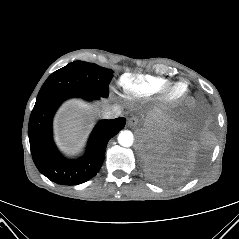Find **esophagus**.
I'll return each mask as SVG.
<instances>
[{
  "mask_svg": "<svg viewBox=\"0 0 239 239\" xmlns=\"http://www.w3.org/2000/svg\"><path fill=\"white\" fill-rule=\"evenodd\" d=\"M139 123V118L137 116H132L128 119V126L133 127Z\"/></svg>",
  "mask_w": 239,
  "mask_h": 239,
  "instance_id": "obj_1",
  "label": "esophagus"
}]
</instances>
